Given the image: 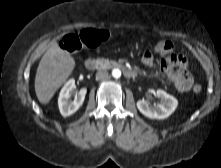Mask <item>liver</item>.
<instances>
[{
    "mask_svg": "<svg viewBox=\"0 0 221 168\" xmlns=\"http://www.w3.org/2000/svg\"><path fill=\"white\" fill-rule=\"evenodd\" d=\"M74 67L75 60L69 52L53 43L40 60L35 76V92L40 103L50 102L55 92L71 75Z\"/></svg>",
    "mask_w": 221,
    "mask_h": 168,
    "instance_id": "obj_1",
    "label": "liver"
}]
</instances>
